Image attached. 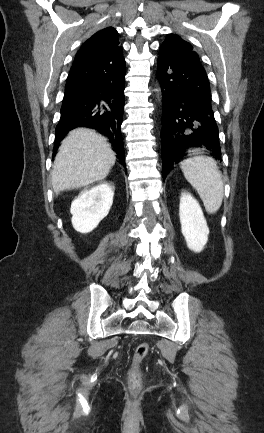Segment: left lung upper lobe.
Here are the masks:
<instances>
[{"instance_id": "5c2ea615", "label": "left lung upper lobe", "mask_w": 264, "mask_h": 433, "mask_svg": "<svg viewBox=\"0 0 264 433\" xmlns=\"http://www.w3.org/2000/svg\"><path fill=\"white\" fill-rule=\"evenodd\" d=\"M160 54L201 65L198 54L194 51L193 46L176 34H169L166 37L160 46Z\"/></svg>"}]
</instances>
